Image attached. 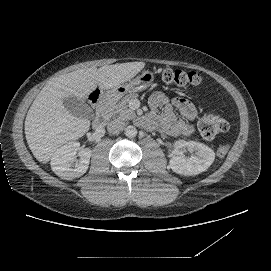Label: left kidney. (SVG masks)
Listing matches in <instances>:
<instances>
[{
    "instance_id": "5707ae66",
    "label": "left kidney",
    "mask_w": 271,
    "mask_h": 271,
    "mask_svg": "<svg viewBox=\"0 0 271 271\" xmlns=\"http://www.w3.org/2000/svg\"><path fill=\"white\" fill-rule=\"evenodd\" d=\"M174 150L171 153L170 167L181 175H195L206 170L215 159V153L208 146L186 139L176 140L173 143ZM184 151L192 154L186 157Z\"/></svg>"
}]
</instances>
